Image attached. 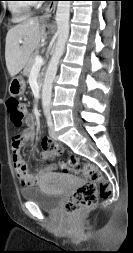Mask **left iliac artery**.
I'll return each mask as SVG.
<instances>
[{
    "label": "left iliac artery",
    "mask_w": 133,
    "mask_h": 253,
    "mask_svg": "<svg viewBox=\"0 0 133 253\" xmlns=\"http://www.w3.org/2000/svg\"><path fill=\"white\" fill-rule=\"evenodd\" d=\"M46 118H47V124L48 126H52V119L49 113H46Z\"/></svg>",
    "instance_id": "1"
}]
</instances>
